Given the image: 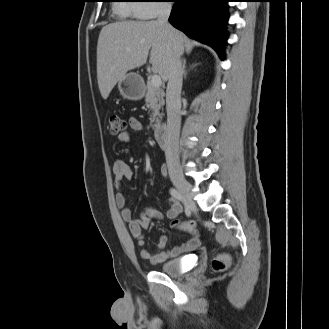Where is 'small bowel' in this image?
<instances>
[{
    "label": "small bowel",
    "mask_w": 329,
    "mask_h": 329,
    "mask_svg": "<svg viewBox=\"0 0 329 329\" xmlns=\"http://www.w3.org/2000/svg\"><path fill=\"white\" fill-rule=\"evenodd\" d=\"M129 127L132 130H142L143 125L135 118L129 119ZM118 141L127 144L131 141L129 132H122L118 135ZM114 186L117 190L116 203L121 209V216L123 220L128 224L129 231L134 237L137 246L140 248V256L153 264L161 263L167 259L174 258L182 253L192 251L198 246L196 239L190 240L182 245L174 246L171 249H166L168 239L166 236H161L157 244L156 251L154 253L149 252L145 249V239L143 231L148 229L153 220H160L163 215L152 207L144 208L140 213L139 219L132 217V212L127 206V197L123 192V183L125 180H129L133 176V170L131 167L122 159H118L114 162L112 167ZM160 172L163 176L168 173L167 167L161 165ZM182 210L180 202L174 198H170V208L167 211V217L169 219H175L178 217Z\"/></svg>",
    "instance_id": "1"
}]
</instances>
